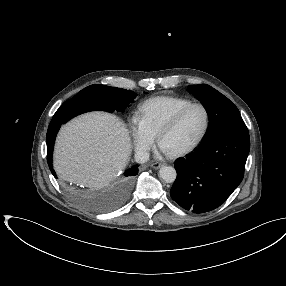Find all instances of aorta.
Returning a JSON list of instances; mask_svg holds the SVG:
<instances>
[{
    "instance_id": "762f6f07",
    "label": "aorta",
    "mask_w": 286,
    "mask_h": 286,
    "mask_svg": "<svg viewBox=\"0 0 286 286\" xmlns=\"http://www.w3.org/2000/svg\"><path fill=\"white\" fill-rule=\"evenodd\" d=\"M176 170L172 166H163L159 170V177L166 183H172L176 179Z\"/></svg>"
}]
</instances>
